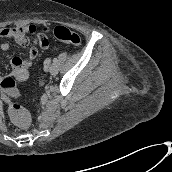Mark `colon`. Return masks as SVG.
<instances>
[{
	"instance_id": "colon-1",
	"label": "colon",
	"mask_w": 172,
	"mask_h": 172,
	"mask_svg": "<svg viewBox=\"0 0 172 172\" xmlns=\"http://www.w3.org/2000/svg\"><path fill=\"white\" fill-rule=\"evenodd\" d=\"M54 36L58 40L72 44L80 45L81 37L64 26H57L54 29ZM44 78L39 79V84L43 85ZM0 90L4 100L8 103V113L11 119L21 128H27L30 124L29 114L18 104L12 102V98L19 97V91L16 88L15 80L12 76H5L0 81Z\"/></svg>"
}]
</instances>
